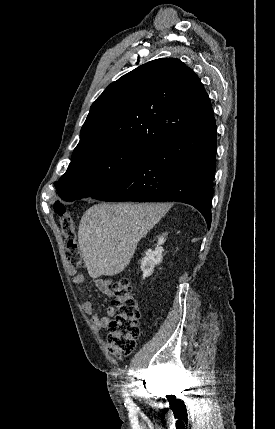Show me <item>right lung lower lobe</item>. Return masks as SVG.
Instances as JSON below:
<instances>
[{"mask_svg":"<svg viewBox=\"0 0 275 429\" xmlns=\"http://www.w3.org/2000/svg\"><path fill=\"white\" fill-rule=\"evenodd\" d=\"M216 138V123L175 135L150 150L137 168L92 198L188 203L200 210L210 228Z\"/></svg>","mask_w":275,"mask_h":429,"instance_id":"1","label":"right lung lower lobe"}]
</instances>
